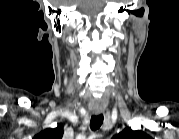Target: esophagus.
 <instances>
[{
    "mask_svg": "<svg viewBox=\"0 0 179 139\" xmlns=\"http://www.w3.org/2000/svg\"><path fill=\"white\" fill-rule=\"evenodd\" d=\"M101 112H102V110H100V109H96V110H95V113H96V114H99V113H101Z\"/></svg>",
    "mask_w": 179,
    "mask_h": 139,
    "instance_id": "obj_1",
    "label": "esophagus"
}]
</instances>
